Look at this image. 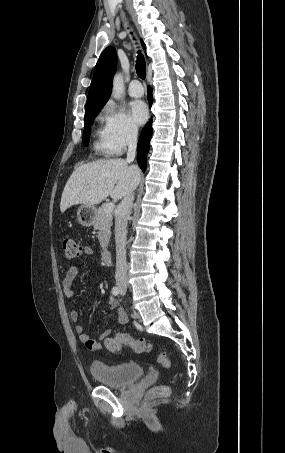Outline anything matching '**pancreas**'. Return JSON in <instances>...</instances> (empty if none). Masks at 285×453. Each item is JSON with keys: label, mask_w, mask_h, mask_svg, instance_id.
Instances as JSON below:
<instances>
[{"label": "pancreas", "mask_w": 285, "mask_h": 453, "mask_svg": "<svg viewBox=\"0 0 285 453\" xmlns=\"http://www.w3.org/2000/svg\"><path fill=\"white\" fill-rule=\"evenodd\" d=\"M112 220V214L106 213L104 208H99L96 211L94 229L99 230L98 239L103 250H107L108 242L111 236Z\"/></svg>", "instance_id": "cf45deb5"}]
</instances>
